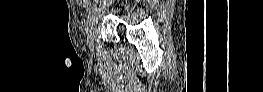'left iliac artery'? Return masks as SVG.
I'll return each instance as SVG.
<instances>
[{"mask_svg":"<svg viewBox=\"0 0 263 92\" xmlns=\"http://www.w3.org/2000/svg\"><path fill=\"white\" fill-rule=\"evenodd\" d=\"M97 5H98L97 1H92L91 2V9H90V12H89L90 16H88V21H93V16L97 15V9H96Z\"/></svg>","mask_w":263,"mask_h":92,"instance_id":"left-iliac-artery-1","label":"left iliac artery"}]
</instances>
